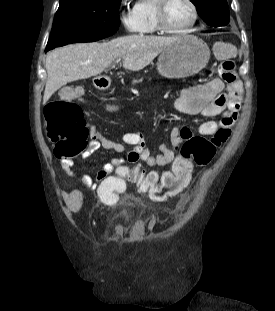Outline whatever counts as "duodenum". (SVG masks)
<instances>
[{
    "instance_id": "1",
    "label": "duodenum",
    "mask_w": 275,
    "mask_h": 311,
    "mask_svg": "<svg viewBox=\"0 0 275 311\" xmlns=\"http://www.w3.org/2000/svg\"><path fill=\"white\" fill-rule=\"evenodd\" d=\"M93 83L95 84L97 90L104 91L109 84V77L96 76L93 78Z\"/></svg>"
}]
</instances>
